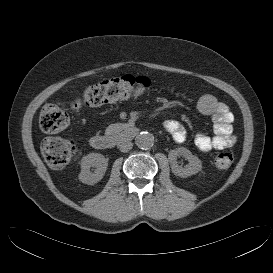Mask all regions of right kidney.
Listing matches in <instances>:
<instances>
[{
    "label": "right kidney",
    "mask_w": 273,
    "mask_h": 273,
    "mask_svg": "<svg viewBox=\"0 0 273 273\" xmlns=\"http://www.w3.org/2000/svg\"><path fill=\"white\" fill-rule=\"evenodd\" d=\"M107 166L108 161L102 154L89 153L81 159L78 179L84 184L93 185L103 178ZM90 167H95V171L91 172Z\"/></svg>",
    "instance_id": "right-kidney-1"
}]
</instances>
